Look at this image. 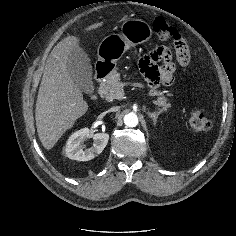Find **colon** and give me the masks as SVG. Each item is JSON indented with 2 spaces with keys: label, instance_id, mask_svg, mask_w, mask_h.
<instances>
[{
  "label": "colon",
  "instance_id": "obj_1",
  "mask_svg": "<svg viewBox=\"0 0 236 236\" xmlns=\"http://www.w3.org/2000/svg\"><path fill=\"white\" fill-rule=\"evenodd\" d=\"M152 27L160 39L170 42V46L174 48L176 52L188 49L187 43L182 35L164 19L155 18L152 21ZM189 127L193 132H203L211 127V122L203 111L196 110L189 118Z\"/></svg>",
  "mask_w": 236,
  "mask_h": 236
}]
</instances>
